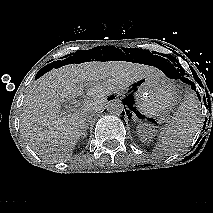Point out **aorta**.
Instances as JSON below:
<instances>
[{
  "mask_svg": "<svg viewBox=\"0 0 213 213\" xmlns=\"http://www.w3.org/2000/svg\"><path fill=\"white\" fill-rule=\"evenodd\" d=\"M107 110L110 114L121 115L124 110V105L121 100H111L107 105Z\"/></svg>",
  "mask_w": 213,
  "mask_h": 213,
  "instance_id": "762f6f07",
  "label": "aorta"
}]
</instances>
